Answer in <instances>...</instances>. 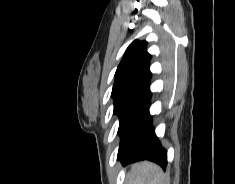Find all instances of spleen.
<instances>
[{"mask_svg":"<svg viewBox=\"0 0 235 184\" xmlns=\"http://www.w3.org/2000/svg\"><path fill=\"white\" fill-rule=\"evenodd\" d=\"M128 184H167V178L160 166L152 162H141L132 166L131 172L127 174Z\"/></svg>","mask_w":235,"mask_h":184,"instance_id":"obj_1","label":"spleen"}]
</instances>
